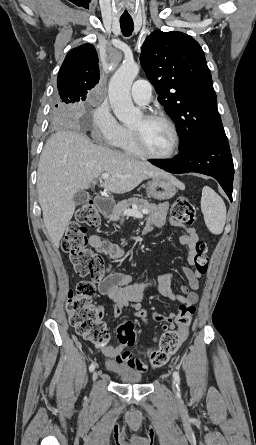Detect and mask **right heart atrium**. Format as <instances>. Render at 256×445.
Returning <instances> with one entry per match:
<instances>
[{
  "label": "right heart atrium",
  "mask_w": 256,
  "mask_h": 445,
  "mask_svg": "<svg viewBox=\"0 0 256 445\" xmlns=\"http://www.w3.org/2000/svg\"><path fill=\"white\" fill-rule=\"evenodd\" d=\"M92 133L108 145L117 144L124 133V127L113 115L106 101H100L95 106L92 114Z\"/></svg>",
  "instance_id": "obj_1"
}]
</instances>
